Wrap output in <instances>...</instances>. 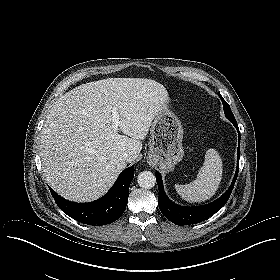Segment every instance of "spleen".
Instances as JSON below:
<instances>
[{"label":"spleen","mask_w":280,"mask_h":280,"mask_svg":"<svg viewBox=\"0 0 280 280\" xmlns=\"http://www.w3.org/2000/svg\"><path fill=\"white\" fill-rule=\"evenodd\" d=\"M223 173L222 159L215 149L206 151L203 166L189 184H176L175 189L188 202H203L215 195Z\"/></svg>","instance_id":"1"}]
</instances>
